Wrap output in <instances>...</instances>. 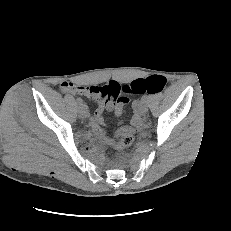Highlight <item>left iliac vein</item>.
<instances>
[{
	"mask_svg": "<svg viewBox=\"0 0 231 231\" xmlns=\"http://www.w3.org/2000/svg\"><path fill=\"white\" fill-rule=\"evenodd\" d=\"M138 110L142 113L145 114L148 111V105L146 101H141L140 106H138Z\"/></svg>",
	"mask_w": 231,
	"mask_h": 231,
	"instance_id": "1",
	"label": "left iliac vein"
}]
</instances>
